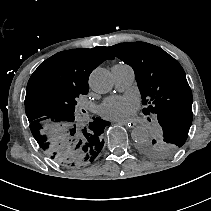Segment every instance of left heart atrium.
<instances>
[{
	"label": "left heart atrium",
	"instance_id": "1",
	"mask_svg": "<svg viewBox=\"0 0 211 211\" xmlns=\"http://www.w3.org/2000/svg\"><path fill=\"white\" fill-rule=\"evenodd\" d=\"M138 108L135 97L120 96L108 98L99 108V113L112 118L126 117Z\"/></svg>",
	"mask_w": 211,
	"mask_h": 211
}]
</instances>
